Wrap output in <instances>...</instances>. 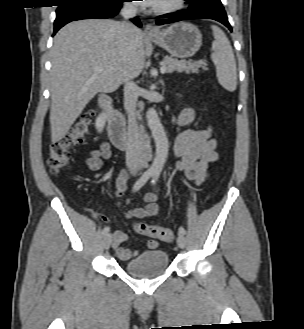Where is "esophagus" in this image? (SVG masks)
Segmentation results:
<instances>
[{
  "instance_id": "obj_1",
  "label": "esophagus",
  "mask_w": 304,
  "mask_h": 329,
  "mask_svg": "<svg viewBox=\"0 0 304 329\" xmlns=\"http://www.w3.org/2000/svg\"><path fill=\"white\" fill-rule=\"evenodd\" d=\"M144 33L147 36H154L157 34V30L152 26V24L148 23L144 27Z\"/></svg>"
}]
</instances>
